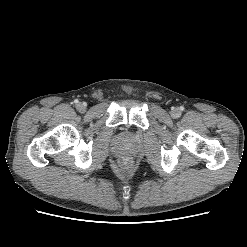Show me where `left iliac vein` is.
<instances>
[{"instance_id": "1", "label": "left iliac vein", "mask_w": 247, "mask_h": 247, "mask_svg": "<svg viewBox=\"0 0 247 247\" xmlns=\"http://www.w3.org/2000/svg\"><path fill=\"white\" fill-rule=\"evenodd\" d=\"M179 115H180V112H179L178 109H173V110L171 111V116H172V117L176 118V117H178Z\"/></svg>"}]
</instances>
